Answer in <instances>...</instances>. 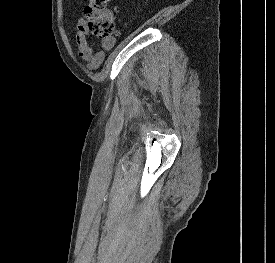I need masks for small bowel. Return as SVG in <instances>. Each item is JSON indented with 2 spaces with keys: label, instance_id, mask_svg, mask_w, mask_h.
I'll return each mask as SVG.
<instances>
[{
  "label": "small bowel",
  "instance_id": "1",
  "mask_svg": "<svg viewBox=\"0 0 275 263\" xmlns=\"http://www.w3.org/2000/svg\"><path fill=\"white\" fill-rule=\"evenodd\" d=\"M111 17L112 16L110 15V18ZM75 39L78 47L79 57L87 62L88 70L97 69L105 60V51L111 50L116 42L115 38L103 41V50L94 53L87 41V29L83 19H80L76 26Z\"/></svg>",
  "mask_w": 275,
  "mask_h": 263
}]
</instances>
